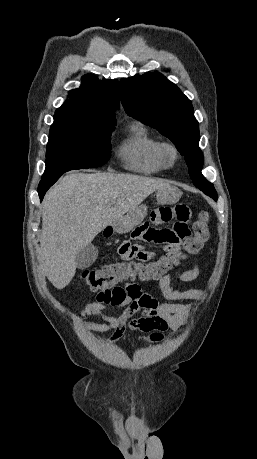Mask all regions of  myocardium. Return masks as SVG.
Wrapping results in <instances>:
<instances>
[{
	"label": "myocardium",
	"mask_w": 257,
	"mask_h": 459,
	"mask_svg": "<svg viewBox=\"0 0 257 459\" xmlns=\"http://www.w3.org/2000/svg\"><path fill=\"white\" fill-rule=\"evenodd\" d=\"M157 155L165 168H172L180 158L178 148L170 142H160Z\"/></svg>",
	"instance_id": "f54148a6"
}]
</instances>
